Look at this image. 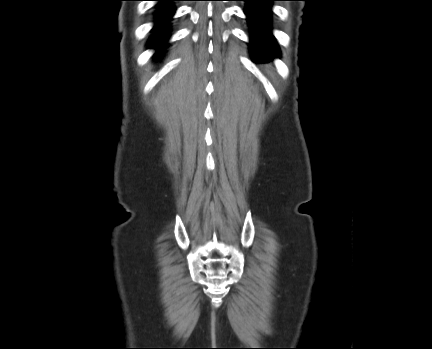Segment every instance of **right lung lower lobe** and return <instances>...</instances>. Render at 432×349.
<instances>
[{
    "mask_svg": "<svg viewBox=\"0 0 432 349\" xmlns=\"http://www.w3.org/2000/svg\"><path fill=\"white\" fill-rule=\"evenodd\" d=\"M158 1L159 9L157 10V18H156V24L153 28V31H156L157 36L154 38L153 46L156 45H162L164 41H166L167 38L164 40H161L162 36H165L168 33V22L170 18L173 16L175 12V8L172 6V1L176 0H155ZM161 50H159L156 54H158Z\"/></svg>",
    "mask_w": 432,
    "mask_h": 349,
    "instance_id": "right-lung-lower-lobe-1",
    "label": "right lung lower lobe"
}]
</instances>
